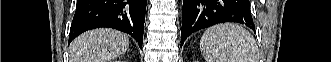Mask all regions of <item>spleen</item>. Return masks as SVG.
Here are the masks:
<instances>
[{
  "instance_id": "obj_1",
  "label": "spleen",
  "mask_w": 331,
  "mask_h": 62,
  "mask_svg": "<svg viewBox=\"0 0 331 62\" xmlns=\"http://www.w3.org/2000/svg\"><path fill=\"white\" fill-rule=\"evenodd\" d=\"M200 50L207 62H257V47L252 35L238 24L225 23L208 28Z\"/></svg>"
}]
</instances>
